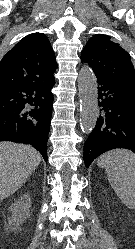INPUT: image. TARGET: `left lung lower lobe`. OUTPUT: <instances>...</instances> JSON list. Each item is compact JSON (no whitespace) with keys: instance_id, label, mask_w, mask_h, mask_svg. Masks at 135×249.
<instances>
[{"instance_id":"1","label":"left lung lower lobe","mask_w":135,"mask_h":249,"mask_svg":"<svg viewBox=\"0 0 135 249\" xmlns=\"http://www.w3.org/2000/svg\"><path fill=\"white\" fill-rule=\"evenodd\" d=\"M98 118L84 144L86 167L106 151L125 148L135 153V88L97 79Z\"/></svg>"}]
</instances>
